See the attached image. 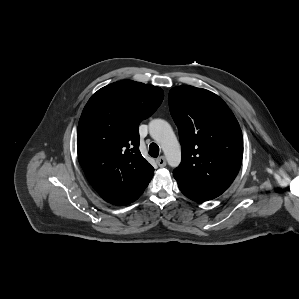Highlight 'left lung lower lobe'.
I'll list each match as a JSON object with an SVG mask.
<instances>
[{
  "label": "left lung lower lobe",
  "mask_w": 299,
  "mask_h": 299,
  "mask_svg": "<svg viewBox=\"0 0 299 299\" xmlns=\"http://www.w3.org/2000/svg\"><path fill=\"white\" fill-rule=\"evenodd\" d=\"M180 188V187H179ZM181 192L187 196L188 198L194 200V201H198V202H203V201H207V200H210L209 198H206V197H203L201 195H198V194H195V193H192V192H189L183 188H180Z\"/></svg>",
  "instance_id": "left-lung-lower-lobe-1"
}]
</instances>
